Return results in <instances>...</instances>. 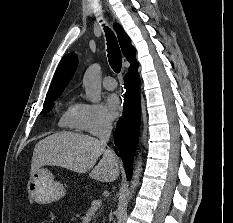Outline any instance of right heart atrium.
I'll return each mask as SVG.
<instances>
[{
    "mask_svg": "<svg viewBox=\"0 0 233 223\" xmlns=\"http://www.w3.org/2000/svg\"><path fill=\"white\" fill-rule=\"evenodd\" d=\"M80 129L93 135L112 129V121L99 104L83 103L80 108Z\"/></svg>",
    "mask_w": 233,
    "mask_h": 223,
    "instance_id": "1",
    "label": "right heart atrium"
}]
</instances>
